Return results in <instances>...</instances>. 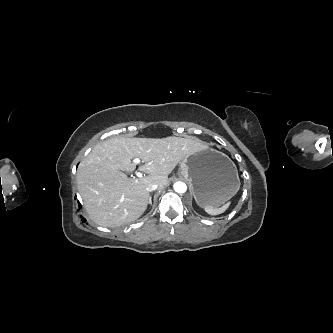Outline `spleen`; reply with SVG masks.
I'll return each instance as SVG.
<instances>
[{"label": "spleen", "mask_w": 333, "mask_h": 333, "mask_svg": "<svg viewBox=\"0 0 333 333\" xmlns=\"http://www.w3.org/2000/svg\"><path fill=\"white\" fill-rule=\"evenodd\" d=\"M239 187H240V181L238 182V190H239ZM229 205H230V202L226 203L225 205H223L222 207H219V208H215L212 206H206L204 209L210 215H218V214L225 212L227 210V208L229 207Z\"/></svg>", "instance_id": "1"}]
</instances>
